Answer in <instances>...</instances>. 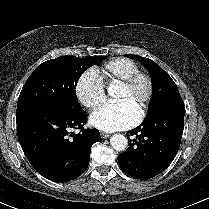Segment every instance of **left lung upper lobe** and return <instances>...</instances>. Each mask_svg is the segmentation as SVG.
I'll return each mask as SVG.
<instances>
[{
	"label": "left lung upper lobe",
	"instance_id": "left-lung-upper-lobe-1",
	"mask_svg": "<svg viewBox=\"0 0 209 209\" xmlns=\"http://www.w3.org/2000/svg\"><path fill=\"white\" fill-rule=\"evenodd\" d=\"M126 56L136 59L144 65L152 78L153 97L146 117H149L162 109L184 107L178 88L167 72L151 59L137 55Z\"/></svg>",
	"mask_w": 209,
	"mask_h": 209
}]
</instances>
